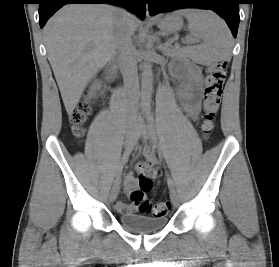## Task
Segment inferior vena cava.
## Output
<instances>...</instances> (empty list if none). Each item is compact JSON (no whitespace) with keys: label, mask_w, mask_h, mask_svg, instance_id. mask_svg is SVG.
<instances>
[{"label":"inferior vena cava","mask_w":279,"mask_h":267,"mask_svg":"<svg viewBox=\"0 0 279 267\" xmlns=\"http://www.w3.org/2000/svg\"><path fill=\"white\" fill-rule=\"evenodd\" d=\"M121 19L115 28V46L120 59L125 87L131 100H136L139 91L138 72L136 67V50L132 36L134 29L130 24V13L121 9Z\"/></svg>","instance_id":"obj_1"}]
</instances>
